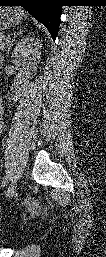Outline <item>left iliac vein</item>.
Returning a JSON list of instances; mask_svg holds the SVG:
<instances>
[{"label":"left iliac vein","instance_id":"4c4485c4","mask_svg":"<svg viewBox=\"0 0 106 257\" xmlns=\"http://www.w3.org/2000/svg\"><path fill=\"white\" fill-rule=\"evenodd\" d=\"M16 188H17V181L15 180L10 184V186L7 190V197L8 198H11L15 195Z\"/></svg>","mask_w":106,"mask_h":257}]
</instances>
